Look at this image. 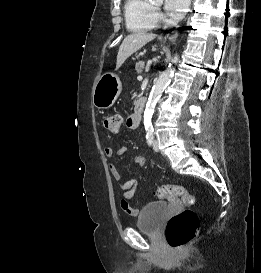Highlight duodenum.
<instances>
[{
    "mask_svg": "<svg viewBox=\"0 0 261 273\" xmlns=\"http://www.w3.org/2000/svg\"><path fill=\"white\" fill-rule=\"evenodd\" d=\"M144 108H145V100L139 99L136 103V106H135V113L133 114V117H134L133 126L134 127H138L140 125Z\"/></svg>",
    "mask_w": 261,
    "mask_h": 273,
    "instance_id": "obj_1",
    "label": "duodenum"
}]
</instances>
